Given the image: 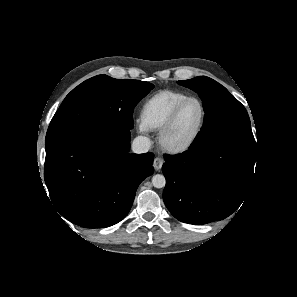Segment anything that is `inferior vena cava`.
I'll use <instances>...</instances> for the list:
<instances>
[{
  "label": "inferior vena cava",
  "mask_w": 297,
  "mask_h": 297,
  "mask_svg": "<svg viewBox=\"0 0 297 297\" xmlns=\"http://www.w3.org/2000/svg\"><path fill=\"white\" fill-rule=\"evenodd\" d=\"M151 148V141L148 137L138 136L133 140L132 151L133 153L141 154L146 153Z\"/></svg>",
  "instance_id": "1"
}]
</instances>
